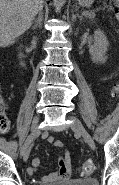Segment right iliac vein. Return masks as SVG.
<instances>
[{"mask_svg": "<svg viewBox=\"0 0 119 185\" xmlns=\"http://www.w3.org/2000/svg\"><path fill=\"white\" fill-rule=\"evenodd\" d=\"M38 122H39V115H36L35 119H34V125L32 126L31 133H30V136L32 137V140H31L30 144L27 146V148L25 149V151L22 154L24 161H27V159L29 157V154H30V145H31L33 139L37 136V134L39 132V129H38V126H37Z\"/></svg>", "mask_w": 119, "mask_h": 185, "instance_id": "1", "label": "right iliac vein"}]
</instances>
